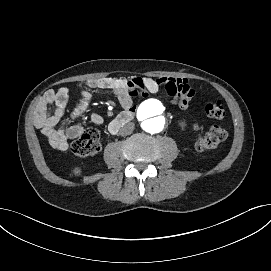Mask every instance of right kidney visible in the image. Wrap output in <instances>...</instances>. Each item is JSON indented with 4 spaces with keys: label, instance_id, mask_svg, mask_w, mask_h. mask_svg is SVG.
Returning <instances> with one entry per match:
<instances>
[{
    "label": "right kidney",
    "instance_id": "1",
    "mask_svg": "<svg viewBox=\"0 0 271 271\" xmlns=\"http://www.w3.org/2000/svg\"><path fill=\"white\" fill-rule=\"evenodd\" d=\"M80 172H81V170H80L79 168H76V169H75V174H76V175L80 174Z\"/></svg>",
    "mask_w": 271,
    "mask_h": 271
}]
</instances>
